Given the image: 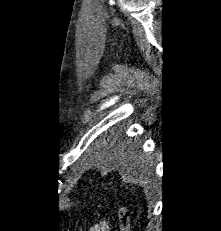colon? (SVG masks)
Listing matches in <instances>:
<instances>
[{"label":"colon","mask_w":221,"mask_h":231,"mask_svg":"<svg viewBox=\"0 0 221 231\" xmlns=\"http://www.w3.org/2000/svg\"><path fill=\"white\" fill-rule=\"evenodd\" d=\"M118 218L122 231H128L130 225V212L125 206H120L118 209Z\"/></svg>","instance_id":"5ec220e1"}]
</instances>
